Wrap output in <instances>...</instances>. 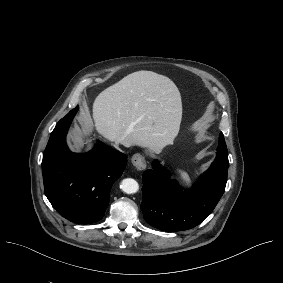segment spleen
<instances>
[{"label":"spleen","mask_w":283,"mask_h":283,"mask_svg":"<svg viewBox=\"0 0 283 283\" xmlns=\"http://www.w3.org/2000/svg\"><path fill=\"white\" fill-rule=\"evenodd\" d=\"M177 172L179 173V175H180V177L183 179V181H184L187 185H190L191 180H190V177H189L188 173H187L186 171L180 170V169H179Z\"/></svg>","instance_id":"3e777b00"}]
</instances>
